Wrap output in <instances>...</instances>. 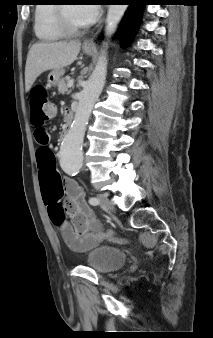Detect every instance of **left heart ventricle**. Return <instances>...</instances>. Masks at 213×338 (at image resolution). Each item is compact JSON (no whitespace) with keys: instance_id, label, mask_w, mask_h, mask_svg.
<instances>
[{"instance_id":"obj_1","label":"left heart ventricle","mask_w":213,"mask_h":338,"mask_svg":"<svg viewBox=\"0 0 213 338\" xmlns=\"http://www.w3.org/2000/svg\"><path fill=\"white\" fill-rule=\"evenodd\" d=\"M65 10L67 18L73 26L77 28L86 26V24L79 18L77 8L75 7V5H67Z\"/></svg>"}]
</instances>
